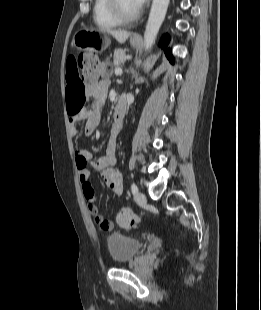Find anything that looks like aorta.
Segmentation results:
<instances>
[{"label":"aorta","mask_w":261,"mask_h":310,"mask_svg":"<svg viewBox=\"0 0 261 310\" xmlns=\"http://www.w3.org/2000/svg\"><path fill=\"white\" fill-rule=\"evenodd\" d=\"M170 0H153L149 18L144 33L145 50L151 49L159 29L165 19Z\"/></svg>","instance_id":"obj_1"}]
</instances>
